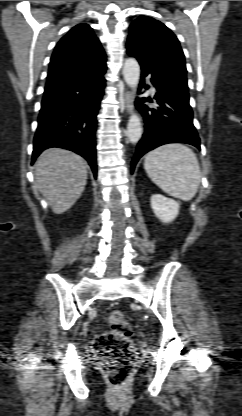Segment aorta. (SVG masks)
Returning <instances> with one entry per match:
<instances>
[{
  "label": "aorta",
  "mask_w": 242,
  "mask_h": 416,
  "mask_svg": "<svg viewBox=\"0 0 242 416\" xmlns=\"http://www.w3.org/2000/svg\"><path fill=\"white\" fill-rule=\"evenodd\" d=\"M123 77L130 88H137L140 78V66L135 58L125 60ZM142 131L140 118L136 114H132L127 124V137L129 141L131 143H137L142 136Z\"/></svg>",
  "instance_id": "762f6f07"
}]
</instances>
